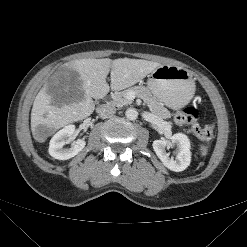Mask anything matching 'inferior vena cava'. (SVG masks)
I'll return each instance as SVG.
<instances>
[{
	"label": "inferior vena cava",
	"instance_id": "602c4592",
	"mask_svg": "<svg viewBox=\"0 0 247 247\" xmlns=\"http://www.w3.org/2000/svg\"><path fill=\"white\" fill-rule=\"evenodd\" d=\"M97 113L100 117H111L116 113V108L112 105H102L97 109Z\"/></svg>",
	"mask_w": 247,
	"mask_h": 247
}]
</instances>
